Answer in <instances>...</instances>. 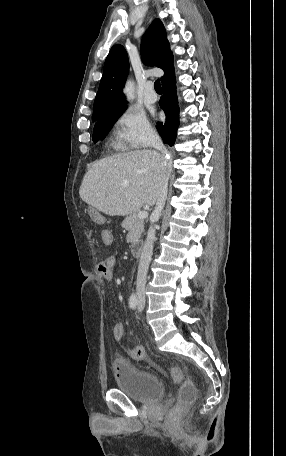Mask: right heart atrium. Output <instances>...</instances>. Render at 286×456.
<instances>
[{"instance_id":"1","label":"right heart atrium","mask_w":286,"mask_h":456,"mask_svg":"<svg viewBox=\"0 0 286 456\" xmlns=\"http://www.w3.org/2000/svg\"><path fill=\"white\" fill-rule=\"evenodd\" d=\"M115 140L121 148H142L155 140V131L144 113L124 109L116 118Z\"/></svg>"}]
</instances>
